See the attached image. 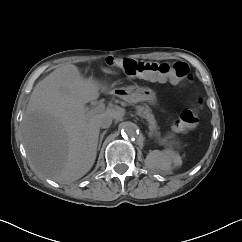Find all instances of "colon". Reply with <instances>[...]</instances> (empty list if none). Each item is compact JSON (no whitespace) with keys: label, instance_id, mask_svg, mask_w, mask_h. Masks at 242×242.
<instances>
[{"label":"colon","instance_id":"colon-1","mask_svg":"<svg viewBox=\"0 0 242 242\" xmlns=\"http://www.w3.org/2000/svg\"><path fill=\"white\" fill-rule=\"evenodd\" d=\"M105 63L111 67L124 70L128 75L140 77L150 81H170L178 84L192 79L189 67L184 62H153L118 57H108ZM198 123V115L194 109H185L174 122L172 129L182 132L194 127Z\"/></svg>","mask_w":242,"mask_h":242}]
</instances>
